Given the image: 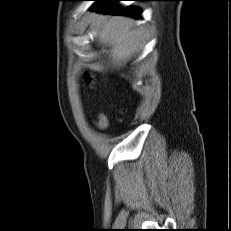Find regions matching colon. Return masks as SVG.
Segmentation results:
<instances>
[{"label": "colon", "mask_w": 231, "mask_h": 231, "mask_svg": "<svg viewBox=\"0 0 231 231\" xmlns=\"http://www.w3.org/2000/svg\"><path fill=\"white\" fill-rule=\"evenodd\" d=\"M86 81H87V82H91V78L87 77V78H86Z\"/></svg>", "instance_id": "5ec220e1"}]
</instances>
